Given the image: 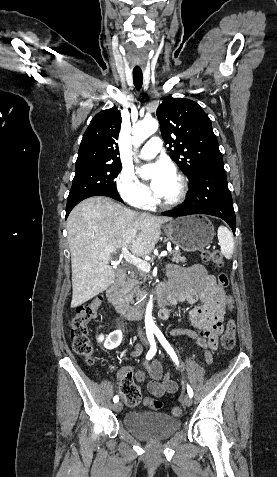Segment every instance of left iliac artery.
<instances>
[{
  "mask_svg": "<svg viewBox=\"0 0 277 477\" xmlns=\"http://www.w3.org/2000/svg\"><path fill=\"white\" fill-rule=\"evenodd\" d=\"M154 333L155 335L157 336L159 342L161 343V345L165 348V350L167 351V353L170 355V357L172 358V360L178 365L179 361H178V357L176 355V353L174 352L173 348L171 347V345L168 343V341L166 340V338L164 337V335L162 334V332L158 329V328H155L154 329ZM187 392H188V395L190 397L193 396V390L192 388L187 385Z\"/></svg>",
  "mask_w": 277,
  "mask_h": 477,
  "instance_id": "1",
  "label": "left iliac artery"
}]
</instances>
